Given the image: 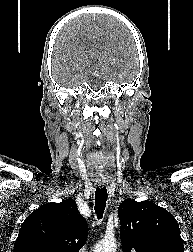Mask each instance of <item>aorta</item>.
<instances>
[{"label": "aorta", "instance_id": "762f6f07", "mask_svg": "<svg viewBox=\"0 0 193 252\" xmlns=\"http://www.w3.org/2000/svg\"><path fill=\"white\" fill-rule=\"evenodd\" d=\"M116 247L115 239H103L96 245L94 252H116Z\"/></svg>", "mask_w": 193, "mask_h": 252}]
</instances>
